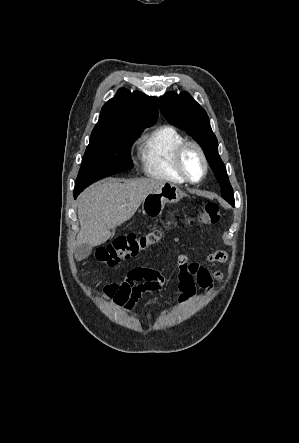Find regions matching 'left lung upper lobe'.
<instances>
[{
  "mask_svg": "<svg viewBox=\"0 0 299 443\" xmlns=\"http://www.w3.org/2000/svg\"><path fill=\"white\" fill-rule=\"evenodd\" d=\"M159 107L164 117L173 125L185 130L204 150L207 161L220 183L222 197L230 204L234 194L226 168L218 154V142L212 132L205 110L188 94L166 93L159 98Z\"/></svg>",
  "mask_w": 299,
  "mask_h": 443,
  "instance_id": "left-lung-upper-lobe-1",
  "label": "left lung upper lobe"
}]
</instances>
